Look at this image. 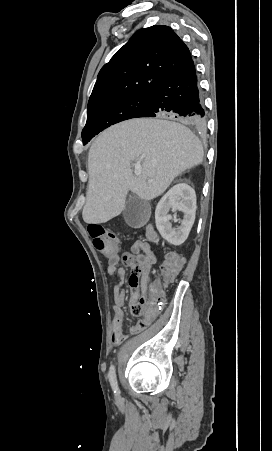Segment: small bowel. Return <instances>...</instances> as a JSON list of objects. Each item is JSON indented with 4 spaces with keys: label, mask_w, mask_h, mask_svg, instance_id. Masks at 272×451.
<instances>
[{
    "label": "small bowel",
    "mask_w": 272,
    "mask_h": 451,
    "mask_svg": "<svg viewBox=\"0 0 272 451\" xmlns=\"http://www.w3.org/2000/svg\"><path fill=\"white\" fill-rule=\"evenodd\" d=\"M131 252H137L138 256H144L145 261H151L152 268L148 270V274H131L127 279V283L130 289L131 302L130 308L132 313V304L134 300H137V295H140V286H145L149 279V274L153 267L157 263V255L152 250L149 243L144 241H137L131 247ZM107 274L110 276H116L118 279L117 284L113 288V300L114 304L112 306V311L114 315V326L122 332V326L125 319V312L123 306L126 301V292L123 289V285L126 281V269L122 272H116L115 270H109L107 265ZM134 316L143 315L145 317L146 313H132Z\"/></svg>",
    "instance_id": "small-bowel-1"
}]
</instances>
